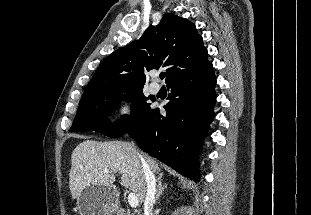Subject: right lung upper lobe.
Masks as SVG:
<instances>
[{
    "label": "right lung upper lobe",
    "instance_id": "obj_1",
    "mask_svg": "<svg viewBox=\"0 0 311 215\" xmlns=\"http://www.w3.org/2000/svg\"><path fill=\"white\" fill-rule=\"evenodd\" d=\"M208 61L202 37L193 23L173 13L163 15L136 41L108 56L88 83L80 100L142 90L146 74L166 68L168 84L199 69Z\"/></svg>",
    "mask_w": 311,
    "mask_h": 215
}]
</instances>
